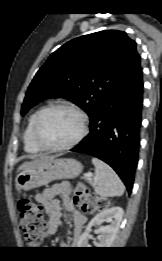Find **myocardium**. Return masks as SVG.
I'll list each match as a JSON object with an SVG mask.
<instances>
[{
    "label": "myocardium",
    "mask_w": 162,
    "mask_h": 261,
    "mask_svg": "<svg viewBox=\"0 0 162 261\" xmlns=\"http://www.w3.org/2000/svg\"><path fill=\"white\" fill-rule=\"evenodd\" d=\"M56 109H66L69 110L73 113H75L79 120H80V130L78 134L68 143L58 145V146H52L45 144L41 137H40V126L42 123L43 118L45 117L46 114L49 112L56 110ZM88 131V117L87 115L77 106L67 103V102H58V103H53L45 108H43L39 114L36 117L35 123H34V128H33V139L35 144L42 150L45 151H50V152H59V151H64L68 150L70 148H73L77 144H79L83 138L86 136Z\"/></svg>",
    "instance_id": "1"
}]
</instances>
